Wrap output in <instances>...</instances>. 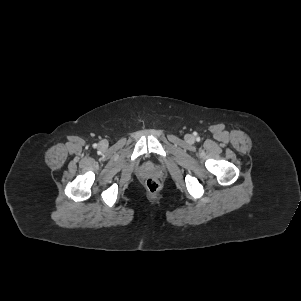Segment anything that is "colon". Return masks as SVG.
I'll use <instances>...</instances> for the list:
<instances>
[{
	"mask_svg": "<svg viewBox=\"0 0 301 301\" xmlns=\"http://www.w3.org/2000/svg\"><path fill=\"white\" fill-rule=\"evenodd\" d=\"M145 185L150 193H157L161 188L160 182L153 178L147 179Z\"/></svg>",
	"mask_w": 301,
	"mask_h": 301,
	"instance_id": "5ec220e1",
	"label": "colon"
}]
</instances>
